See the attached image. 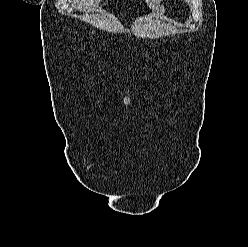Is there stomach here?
<instances>
[{
  "mask_svg": "<svg viewBox=\"0 0 248 247\" xmlns=\"http://www.w3.org/2000/svg\"><path fill=\"white\" fill-rule=\"evenodd\" d=\"M165 13V8H164V6L163 5H158L157 6V9L155 10V15L156 16H162L163 14Z\"/></svg>",
  "mask_w": 248,
  "mask_h": 247,
  "instance_id": "obj_1",
  "label": "stomach"
}]
</instances>
